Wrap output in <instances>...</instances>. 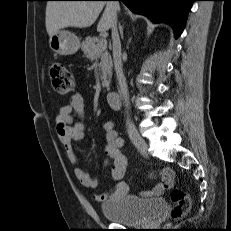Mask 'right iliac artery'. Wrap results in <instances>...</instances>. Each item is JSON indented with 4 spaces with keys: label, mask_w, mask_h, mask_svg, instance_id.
Returning a JSON list of instances; mask_svg holds the SVG:
<instances>
[{
    "label": "right iliac artery",
    "mask_w": 231,
    "mask_h": 231,
    "mask_svg": "<svg viewBox=\"0 0 231 231\" xmlns=\"http://www.w3.org/2000/svg\"><path fill=\"white\" fill-rule=\"evenodd\" d=\"M119 144H120L121 146H123V144H124L123 138H119Z\"/></svg>",
    "instance_id": "1"
}]
</instances>
